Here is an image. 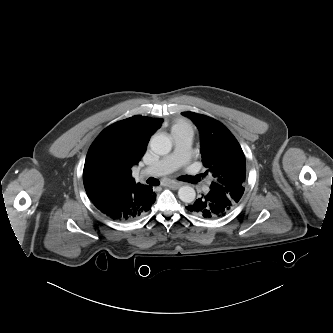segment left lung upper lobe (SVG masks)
Wrapping results in <instances>:
<instances>
[{
	"instance_id": "obj_1",
	"label": "left lung upper lobe",
	"mask_w": 333,
	"mask_h": 333,
	"mask_svg": "<svg viewBox=\"0 0 333 333\" xmlns=\"http://www.w3.org/2000/svg\"><path fill=\"white\" fill-rule=\"evenodd\" d=\"M198 127L201 134L203 165L214 178L210 190L226 195L238 205L245 186L244 153L231 132L219 121L194 112H183Z\"/></svg>"
}]
</instances>
